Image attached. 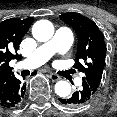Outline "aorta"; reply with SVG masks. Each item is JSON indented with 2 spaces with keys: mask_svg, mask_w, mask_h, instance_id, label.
Returning <instances> with one entry per match:
<instances>
[{
  "mask_svg": "<svg viewBox=\"0 0 117 117\" xmlns=\"http://www.w3.org/2000/svg\"><path fill=\"white\" fill-rule=\"evenodd\" d=\"M33 37L39 42L50 40L54 34L53 24L48 20L37 21L32 28ZM55 93L61 97H68L71 93V85L67 81H58L55 84Z\"/></svg>",
  "mask_w": 117,
  "mask_h": 117,
  "instance_id": "762f6f07",
  "label": "aorta"
}]
</instances>
